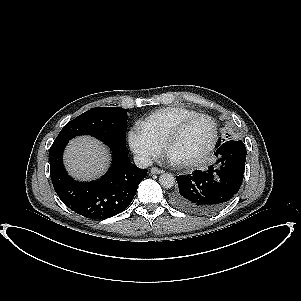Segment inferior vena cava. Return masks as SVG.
Wrapping results in <instances>:
<instances>
[{
  "label": "inferior vena cava",
  "instance_id": "inferior-vena-cava-1",
  "mask_svg": "<svg viewBox=\"0 0 301 301\" xmlns=\"http://www.w3.org/2000/svg\"><path fill=\"white\" fill-rule=\"evenodd\" d=\"M133 160L134 164L141 169H146L153 164L152 159L146 155L136 154Z\"/></svg>",
  "mask_w": 301,
  "mask_h": 301
}]
</instances>
